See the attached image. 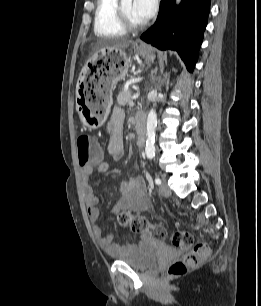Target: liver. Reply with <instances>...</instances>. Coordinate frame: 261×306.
<instances>
[{"label": "liver", "instance_id": "1", "mask_svg": "<svg viewBox=\"0 0 261 306\" xmlns=\"http://www.w3.org/2000/svg\"><path fill=\"white\" fill-rule=\"evenodd\" d=\"M131 42L130 41H114L111 43L106 44L104 47L100 49V51H105V50H122L125 49L129 46Z\"/></svg>", "mask_w": 261, "mask_h": 306}]
</instances>
